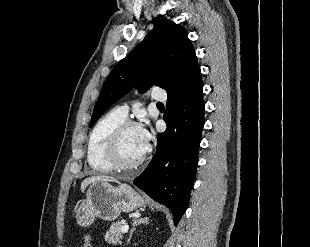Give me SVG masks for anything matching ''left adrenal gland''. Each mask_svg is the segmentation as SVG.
Masks as SVG:
<instances>
[{
    "label": "left adrenal gland",
    "instance_id": "1",
    "mask_svg": "<svg viewBox=\"0 0 310 247\" xmlns=\"http://www.w3.org/2000/svg\"><path fill=\"white\" fill-rule=\"evenodd\" d=\"M148 218L147 217H144V218H139V219H134L133 220V227H132V229H131V231H130V235H129V238H128V240H127V244H129L130 243V240H131V238H132V235H133V232L135 231V228H136V226H138V225H140V224H148Z\"/></svg>",
    "mask_w": 310,
    "mask_h": 247
}]
</instances>
